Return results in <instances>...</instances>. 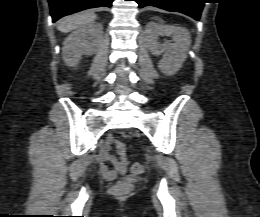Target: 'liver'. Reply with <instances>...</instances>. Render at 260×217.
I'll use <instances>...</instances> for the list:
<instances>
[{
  "label": "liver",
  "instance_id": "6515ba94",
  "mask_svg": "<svg viewBox=\"0 0 260 217\" xmlns=\"http://www.w3.org/2000/svg\"><path fill=\"white\" fill-rule=\"evenodd\" d=\"M96 17L97 16L90 11L74 14L60 20L58 22L57 29L63 33H67L77 29L81 25L94 21Z\"/></svg>",
  "mask_w": 260,
  "mask_h": 217
}]
</instances>
